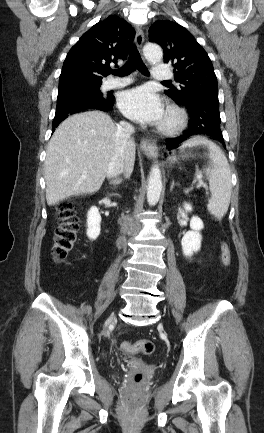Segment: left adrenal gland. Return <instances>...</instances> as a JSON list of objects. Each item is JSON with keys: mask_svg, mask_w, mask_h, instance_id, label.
<instances>
[{"mask_svg": "<svg viewBox=\"0 0 264 433\" xmlns=\"http://www.w3.org/2000/svg\"><path fill=\"white\" fill-rule=\"evenodd\" d=\"M176 185L178 186V184H176ZM174 186H175V182H174V180H173V181L171 182L170 192L173 190Z\"/></svg>", "mask_w": 264, "mask_h": 433, "instance_id": "left-adrenal-gland-1", "label": "left adrenal gland"}]
</instances>
